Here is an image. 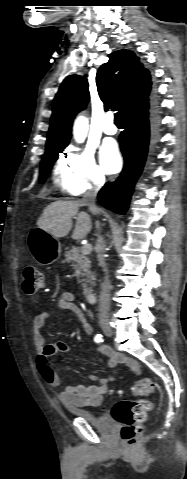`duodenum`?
Masks as SVG:
<instances>
[{
	"instance_id": "duodenum-1",
	"label": "duodenum",
	"mask_w": 187,
	"mask_h": 479,
	"mask_svg": "<svg viewBox=\"0 0 187 479\" xmlns=\"http://www.w3.org/2000/svg\"><path fill=\"white\" fill-rule=\"evenodd\" d=\"M85 298L89 304H94L97 301V294L95 291L89 290L85 293Z\"/></svg>"
}]
</instances>
